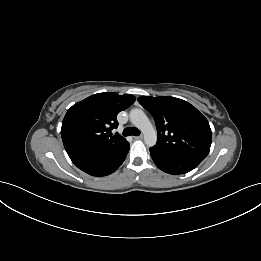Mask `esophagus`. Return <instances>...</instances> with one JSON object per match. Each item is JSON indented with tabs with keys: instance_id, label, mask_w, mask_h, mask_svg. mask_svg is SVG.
<instances>
[{
	"instance_id": "esophagus-1",
	"label": "esophagus",
	"mask_w": 261,
	"mask_h": 261,
	"mask_svg": "<svg viewBox=\"0 0 261 261\" xmlns=\"http://www.w3.org/2000/svg\"><path fill=\"white\" fill-rule=\"evenodd\" d=\"M134 139H136V140H142V139H143V136H142V135L136 136V137H134Z\"/></svg>"
}]
</instances>
